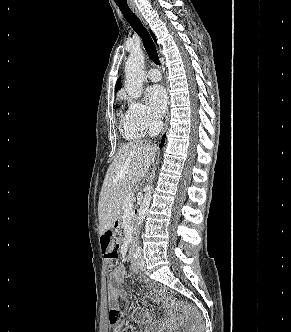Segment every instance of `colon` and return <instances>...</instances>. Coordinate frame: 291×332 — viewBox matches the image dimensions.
I'll use <instances>...</instances> for the list:
<instances>
[{
    "label": "colon",
    "instance_id": "obj_1",
    "mask_svg": "<svg viewBox=\"0 0 291 332\" xmlns=\"http://www.w3.org/2000/svg\"><path fill=\"white\" fill-rule=\"evenodd\" d=\"M101 246L105 258L115 260L118 258V250L120 242L112 231L105 232L101 237ZM167 306L172 311H181L188 317L187 332H201L202 330V316L200 312L191 304L178 301L174 302L172 299L167 301ZM121 317V312L117 308H112L109 313L110 322L116 324ZM118 332H131L130 328L119 330Z\"/></svg>",
    "mask_w": 291,
    "mask_h": 332
}]
</instances>
